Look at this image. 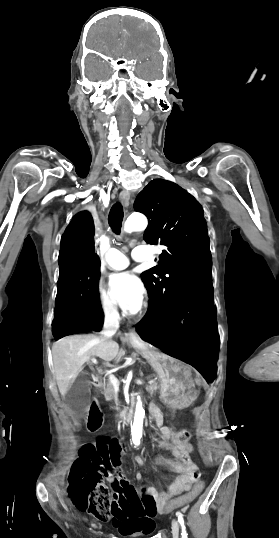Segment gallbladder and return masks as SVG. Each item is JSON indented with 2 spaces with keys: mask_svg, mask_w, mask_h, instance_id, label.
Instances as JSON below:
<instances>
[{
  "mask_svg": "<svg viewBox=\"0 0 279 538\" xmlns=\"http://www.w3.org/2000/svg\"><path fill=\"white\" fill-rule=\"evenodd\" d=\"M89 384V374H87V372H80L71 388H69L66 394L67 398L64 400L65 405H67L64 406V409L70 408V410H75L74 414L78 418L83 417L85 414L82 406L90 403V396L88 395ZM84 419H87V416H84Z\"/></svg>",
  "mask_w": 279,
  "mask_h": 538,
  "instance_id": "gallbladder-1",
  "label": "gallbladder"
}]
</instances>
